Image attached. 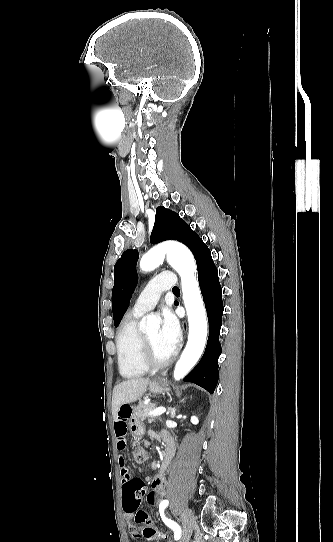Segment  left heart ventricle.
<instances>
[{
  "label": "left heart ventricle",
  "mask_w": 333,
  "mask_h": 542,
  "mask_svg": "<svg viewBox=\"0 0 333 542\" xmlns=\"http://www.w3.org/2000/svg\"><path fill=\"white\" fill-rule=\"evenodd\" d=\"M145 336L151 345L153 355L156 359L165 360L172 355L173 352L163 341L159 329L153 330L145 334Z\"/></svg>",
  "instance_id": "left-heart-ventricle-1"
}]
</instances>
